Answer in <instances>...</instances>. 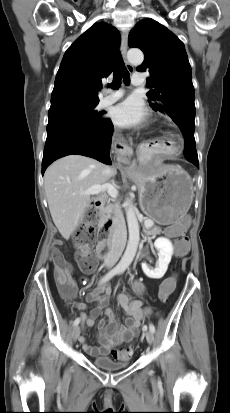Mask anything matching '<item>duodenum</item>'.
<instances>
[{"label": "duodenum", "mask_w": 230, "mask_h": 413, "mask_svg": "<svg viewBox=\"0 0 230 413\" xmlns=\"http://www.w3.org/2000/svg\"><path fill=\"white\" fill-rule=\"evenodd\" d=\"M106 201L105 196H100L95 199L94 205L96 208H103ZM113 231V225L111 220L107 219L104 221L102 229L100 231L99 242L96 246V253L99 258L104 259L110 253L111 242L110 237Z\"/></svg>", "instance_id": "duodenum-1"}]
</instances>
